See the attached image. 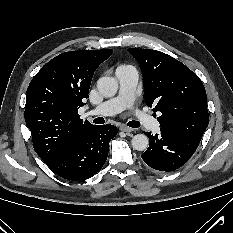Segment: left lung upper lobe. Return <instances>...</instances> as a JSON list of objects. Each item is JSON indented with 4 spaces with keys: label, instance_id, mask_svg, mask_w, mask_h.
I'll return each mask as SVG.
<instances>
[{
    "label": "left lung upper lobe",
    "instance_id": "5c2ea615",
    "mask_svg": "<svg viewBox=\"0 0 233 233\" xmlns=\"http://www.w3.org/2000/svg\"><path fill=\"white\" fill-rule=\"evenodd\" d=\"M141 66L146 101L160 112L161 128L201 139L209 123L206 91L199 77L175 58L151 49L130 48Z\"/></svg>",
    "mask_w": 233,
    "mask_h": 233
}]
</instances>
